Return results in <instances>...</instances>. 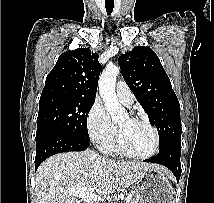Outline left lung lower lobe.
<instances>
[{
	"label": "left lung lower lobe",
	"instance_id": "obj_1",
	"mask_svg": "<svg viewBox=\"0 0 214 203\" xmlns=\"http://www.w3.org/2000/svg\"><path fill=\"white\" fill-rule=\"evenodd\" d=\"M180 155L181 141H176L159 150L155 157L144 161L166 166L173 172L178 182L181 175Z\"/></svg>",
	"mask_w": 214,
	"mask_h": 203
}]
</instances>
